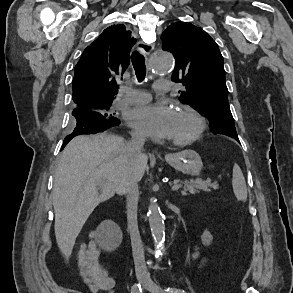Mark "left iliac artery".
Wrapping results in <instances>:
<instances>
[{"label": "left iliac artery", "mask_w": 293, "mask_h": 293, "mask_svg": "<svg viewBox=\"0 0 293 293\" xmlns=\"http://www.w3.org/2000/svg\"><path fill=\"white\" fill-rule=\"evenodd\" d=\"M167 293H185L184 290L167 288L164 290Z\"/></svg>", "instance_id": "1"}]
</instances>
